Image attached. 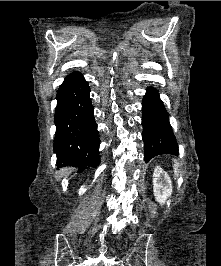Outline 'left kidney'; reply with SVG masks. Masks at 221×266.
Instances as JSON below:
<instances>
[{"label": "left kidney", "mask_w": 221, "mask_h": 266, "mask_svg": "<svg viewBox=\"0 0 221 266\" xmlns=\"http://www.w3.org/2000/svg\"><path fill=\"white\" fill-rule=\"evenodd\" d=\"M153 192L157 202L166 203L172 194V181L167 172L160 166L154 169L153 173Z\"/></svg>", "instance_id": "obj_1"}]
</instances>
